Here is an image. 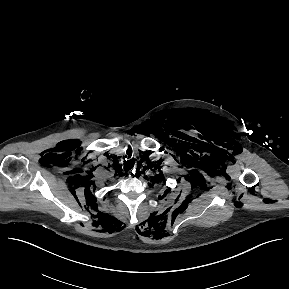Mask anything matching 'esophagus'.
I'll use <instances>...</instances> for the list:
<instances>
[{"label":"esophagus","mask_w":289,"mask_h":289,"mask_svg":"<svg viewBox=\"0 0 289 289\" xmlns=\"http://www.w3.org/2000/svg\"><path fill=\"white\" fill-rule=\"evenodd\" d=\"M132 173H134V171H129V177H132V176H133Z\"/></svg>","instance_id":"esophagus-1"}]
</instances>
